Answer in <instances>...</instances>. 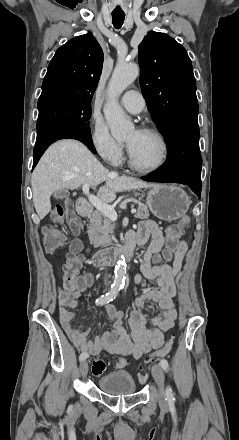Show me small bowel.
Here are the masks:
<instances>
[{"label": "small bowel", "mask_w": 239, "mask_h": 440, "mask_svg": "<svg viewBox=\"0 0 239 440\" xmlns=\"http://www.w3.org/2000/svg\"><path fill=\"white\" fill-rule=\"evenodd\" d=\"M77 233L76 231H73ZM149 244L145 250L141 263V272L135 277L137 284L141 283L142 277L158 285V289L147 291L139 295L135 300V308L128 320L130 334L123 327V313L116 311L112 306L107 307V315L112 321L110 331L104 332L94 340H89V330L83 329L82 325H74L75 314L69 309L74 308L81 292L86 286L85 279L72 280L64 274L63 283L58 289L59 316L61 324L74 343L83 353L97 355L102 351L119 354L116 367L121 369L119 362L131 357L141 358L151 350L159 349L164 343V333L171 329L177 318V311L174 304L176 296L175 278L181 271L184 257L187 252V243L179 241L171 255L164 251V258L172 260V265H152V256L158 254L165 243V237L160 227L153 221L144 220L138 224L135 231L127 235V242L139 246ZM147 301L154 302L160 312L152 318H146L142 308ZM151 324V327H148Z\"/></svg>", "instance_id": "c3829d8e"}]
</instances>
